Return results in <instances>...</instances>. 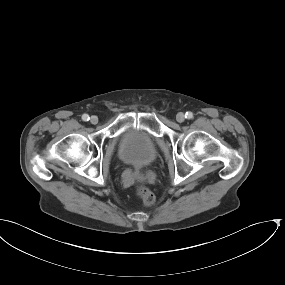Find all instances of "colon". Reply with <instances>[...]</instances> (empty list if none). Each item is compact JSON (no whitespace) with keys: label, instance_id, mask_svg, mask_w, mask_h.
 I'll return each instance as SVG.
<instances>
[{"label":"colon","instance_id":"1","mask_svg":"<svg viewBox=\"0 0 285 285\" xmlns=\"http://www.w3.org/2000/svg\"><path fill=\"white\" fill-rule=\"evenodd\" d=\"M136 192L145 206H150L155 202L156 198L154 193L147 187L140 185L137 187Z\"/></svg>","mask_w":285,"mask_h":285}]
</instances>
